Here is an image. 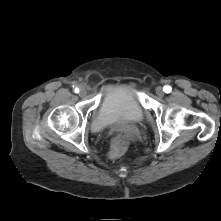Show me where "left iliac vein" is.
Segmentation results:
<instances>
[{
	"label": "left iliac vein",
	"instance_id": "1",
	"mask_svg": "<svg viewBox=\"0 0 221 221\" xmlns=\"http://www.w3.org/2000/svg\"><path fill=\"white\" fill-rule=\"evenodd\" d=\"M156 94L159 96V97H163L164 96V90L162 87H157L156 88Z\"/></svg>",
	"mask_w": 221,
	"mask_h": 221
}]
</instances>
